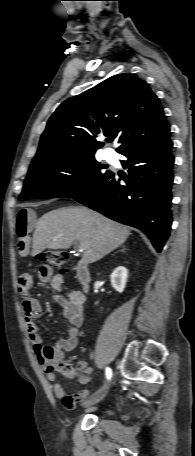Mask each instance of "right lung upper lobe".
I'll return each instance as SVG.
<instances>
[{
	"label": "right lung upper lobe",
	"instance_id": "cb5924a9",
	"mask_svg": "<svg viewBox=\"0 0 195 456\" xmlns=\"http://www.w3.org/2000/svg\"><path fill=\"white\" fill-rule=\"evenodd\" d=\"M99 136L118 137V153L170 137L159 99L144 80L115 75L64 101L50 117L30 167L94 155L103 146Z\"/></svg>",
	"mask_w": 195,
	"mask_h": 456
}]
</instances>
